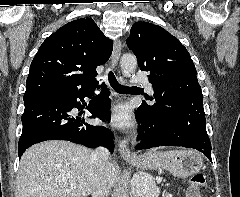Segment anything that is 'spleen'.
I'll return each instance as SVG.
<instances>
[{
  "instance_id": "1",
  "label": "spleen",
  "mask_w": 240,
  "mask_h": 197,
  "mask_svg": "<svg viewBox=\"0 0 240 197\" xmlns=\"http://www.w3.org/2000/svg\"><path fill=\"white\" fill-rule=\"evenodd\" d=\"M150 183H151V188L150 191L146 194L145 197H155V185H153V181L151 180V178L149 177Z\"/></svg>"
}]
</instances>
